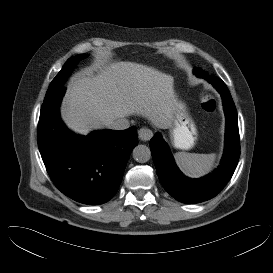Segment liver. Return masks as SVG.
Masks as SVG:
<instances>
[{
  "mask_svg": "<svg viewBox=\"0 0 273 273\" xmlns=\"http://www.w3.org/2000/svg\"><path fill=\"white\" fill-rule=\"evenodd\" d=\"M173 77L134 62H113L73 77L62 118L73 131L87 135L93 128L129 115L147 118L159 128L173 123Z\"/></svg>",
  "mask_w": 273,
  "mask_h": 273,
  "instance_id": "1",
  "label": "liver"
}]
</instances>
